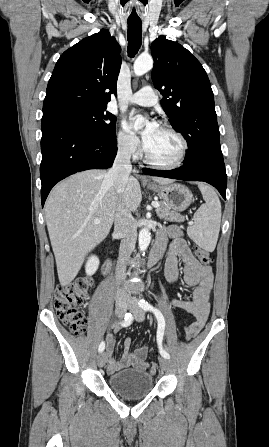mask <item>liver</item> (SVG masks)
I'll use <instances>...</instances> for the list:
<instances>
[{
    "label": "liver",
    "instance_id": "obj_1",
    "mask_svg": "<svg viewBox=\"0 0 269 447\" xmlns=\"http://www.w3.org/2000/svg\"><path fill=\"white\" fill-rule=\"evenodd\" d=\"M105 176V170L70 176L57 184L46 200V224L61 285L71 283L86 253L103 241L112 227L119 198ZM153 180L160 186L173 182L167 178ZM121 200L129 212L139 208L142 194L137 178H128Z\"/></svg>",
    "mask_w": 269,
    "mask_h": 447
}]
</instances>
